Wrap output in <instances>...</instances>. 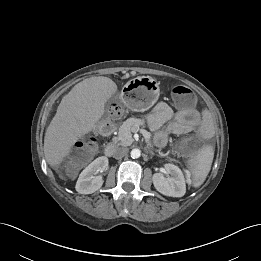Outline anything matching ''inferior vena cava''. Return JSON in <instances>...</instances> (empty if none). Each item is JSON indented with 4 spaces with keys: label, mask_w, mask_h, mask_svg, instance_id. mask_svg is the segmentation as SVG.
<instances>
[{
    "label": "inferior vena cava",
    "mask_w": 261,
    "mask_h": 261,
    "mask_svg": "<svg viewBox=\"0 0 261 261\" xmlns=\"http://www.w3.org/2000/svg\"><path fill=\"white\" fill-rule=\"evenodd\" d=\"M129 152V149L127 147H121L117 146L113 150V157L116 159H121L124 156H126Z\"/></svg>",
    "instance_id": "1"
}]
</instances>
